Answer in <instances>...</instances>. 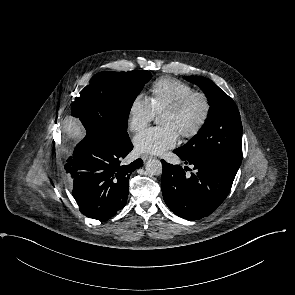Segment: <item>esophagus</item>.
Wrapping results in <instances>:
<instances>
[{
	"instance_id": "obj_1",
	"label": "esophagus",
	"mask_w": 295,
	"mask_h": 295,
	"mask_svg": "<svg viewBox=\"0 0 295 295\" xmlns=\"http://www.w3.org/2000/svg\"><path fill=\"white\" fill-rule=\"evenodd\" d=\"M141 158H142L143 161H147L148 159L152 158V156H150V155H142Z\"/></svg>"
}]
</instances>
